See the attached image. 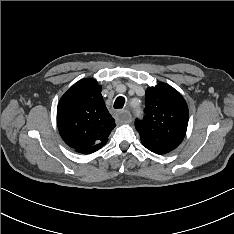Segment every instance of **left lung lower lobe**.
I'll return each mask as SVG.
<instances>
[{
	"label": "left lung lower lobe",
	"mask_w": 234,
	"mask_h": 234,
	"mask_svg": "<svg viewBox=\"0 0 234 234\" xmlns=\"http://www.w3.org/2000/svg\"><path fill=\"white\" fill-rule=\"evenodd\" d=\"M141 141L148 150L156 154H166L178 146L176 143L169 140H157L155 142Z\"/></svg>",
	"instance_id": "left-lung-lower-lobe-1"
}]
</instances>
